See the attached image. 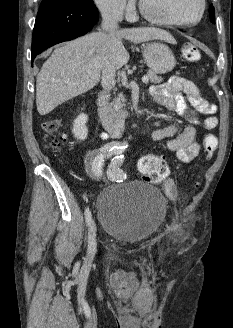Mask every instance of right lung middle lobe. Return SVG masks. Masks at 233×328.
<instances>
[{
    "mask_svg": "<svg viewBox=\"0 0 233 328\" xmlns=\"http://www.w3.org/2000/svg\"><path fill=\"white\" fill-rule=\"evenodd\" d=\"M58 1H66V2H73V3H79V4H85V5H92V6H94L92 0H58Z\"/></svg>",
    "mask_w": 233,
    "mask_h": 328,
    "instance_id": "right-lung-middle-lobe-1",
    "label": "right lung middle lobe"
}]
</instances>
